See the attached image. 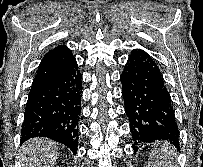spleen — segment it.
<instances>
[{
	"label": "spleen",
	"instance_id": "1",
	"mask_svg": "<svg viewBox=\"0 0 203 167\" xmlns=\"http://www.w3.org/2000/svg\"><path fill=\"white\" fill-rule=\"evenodd\" d=\"M174 155L175 148L167 143H157L150 152L148 167H176Z\"/></svg>",
	"mask_w": 203,
	"mask_h": 167
}]
</instances>
